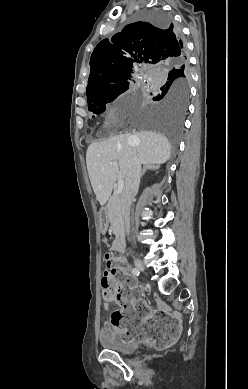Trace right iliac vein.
<instances>
[{
    "label": "right iliac vein",
    "instance_id": "obj_1",
    "mask_svg": "<svg viewBox=\"0 0 248 389\" xmlns=\"http://www.w3.org/2000/svg\"><path fill=\"white\" fill-rule=\"evenodd\" d=\"M134 263H135L136 268H137L139 271H144V270H145L144 263H143L140 259L135 258V259H134Z\"/></svg>",
    "mask_w": 248,
    "mask_h": 389
}]
</instances>
